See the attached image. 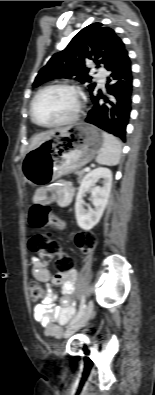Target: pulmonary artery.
Segmentation results:
<instances>
[{"label":"pulmonary artery","instance_id":"1","mask_svg":"<svg viewBox=\"0 0 155 395\" xmlns=\"http://www.w3.org/2000/svg\"><path fill=\"white\" fill-rule=\"evenodd\" d=\"M97 81L100 86H104L105 81H106V73L104 70H99L98 73L96 74Z\"/></svg>","mask_w":155,"mask_h":395}]
</instances>
